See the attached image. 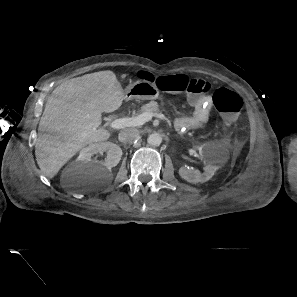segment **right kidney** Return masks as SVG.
<instances>
[{
  "instance_id": "obj_1",
  "label": "right kidney",
  "mask_w": 297,
  "mask_h": 297,
  "mask_svg": "<svg viewBox=\"0 0 297 297\" xmlns=\"http://www.w3.org/2000/svg\"><path fill=\"white\" fill-rule=\"evenodd\" d=\"M106 153V158L104 161L92 163V156L97 153ZM122 156V149L112 143V142H101L90 144L86 148H83L80 151L78 160L89 164L93 169L98 170L101 166H104L106 169L111 170L112 167H115Z\"/></svg>"
}]
</instances>
